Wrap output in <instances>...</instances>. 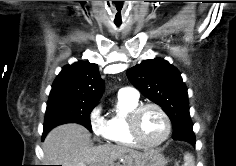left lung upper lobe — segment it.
I'll list each match as a JSON object with an SVG mask.
<instances>
[{
	"label": "left lung upper lobe",
	"mask_w": 236,
	"mask_h": 166,
	"mask_svg": "<svg viewBox=\"0 0 236 166\" xmlns=\"http://www.w3.org/2000/svg\"><path fill=\"white\" fill-rule=\"evenodd\" d=\"M131 83L148 99L163 108L171 122L192 128L188 93L179 71L162 58L148 59L127 71Z\"/></svg>",
	"instance_id": "left-lung-upper-lobe-1"
}]
</instances>
